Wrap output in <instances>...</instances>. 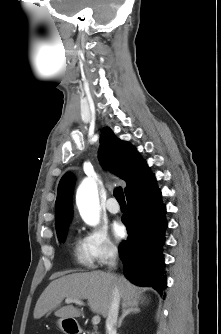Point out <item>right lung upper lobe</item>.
I'll list each match as a JSON object with an SVG mask.
<instances>
[{
    "label": "right lung upper lobe",
    "mask_w": 221,
    "mask_h": 334,
    "mask_svg": "<svg viewBox=\"0 0 221 334\" xmlns=\"http://www.w3.org/2000/svg\"><path fill=\"white\" fill-rule=\"evenodd\" d=\"M100 144V161L127 183L126 194L141 186L152 175L135 148L119 140L110 128L102 129ZM72 187L73 178L63 176L55 206L56 231L68 227L72 218Z\"/></svg>",
    "instance_id": "cb5924a9"
}]
</instances>
